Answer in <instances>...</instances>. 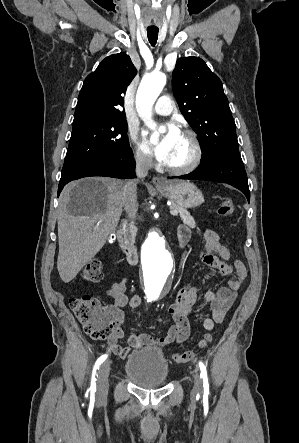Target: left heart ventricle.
<instances>
[{
    "mask_svg": "<svg viewBox=\"0 0 299 443\" xmlns=\"http://www.w3.org/2000/svg\"><path fill=\"white\" fill-rule=\"evenodd\" d=\"M192 156L191 143L187 137L180 134L179 138L175 142L171 149L168 160L165 164L170 166H183L189 162Z\"/></svg>",
    "mask_w": 299,
    "mask_h": 443,
    "instance_id": "b2bd125f",
    "label": "left heart ventricle"
}]
</instances>
